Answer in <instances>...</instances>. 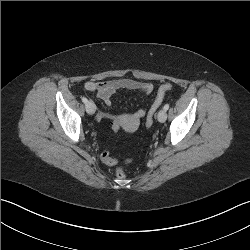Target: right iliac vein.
I'll list each match as a JSON object with an SVG mask.
<instances>
[{
  "mask_svg": "<svg viewBox=\"0 0 250 250\" xmlns=\"http://www.w3.org/2000/svg\"><path fill=\"white\" fill-rule=\"evenodd\" d=\"M86 111L88 114L92 115L96 111V106L92 101H88L85 105Z\"/></svg>",
  "mask_w": 250,
  "mask_h": 250,
  "instance_id": "63e3f726",
  "label": "right iliac vein"
}]
</instances>
